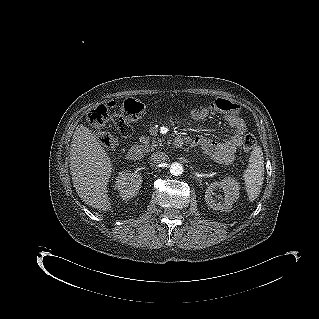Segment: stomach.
Listing matches in <instances>:
<instances>
[{
    "mask_svg": "<svg viewBox=\"0 0 319 319\" xmlns=\"http://www.w3.org/2000/svg\"><path fill=\"white\" fill-rule=\"evenodd\" d=\"M205 110H203L201 107H198V106H196V107H194L193 109H192V116H200V115H202L203 114V112H204Z\"/></svg>",
    "mask_w": 319,
    "mask_h": 319,
    "instance_id": "obj_1",
    "label": "stomach"
}]
</instances>
